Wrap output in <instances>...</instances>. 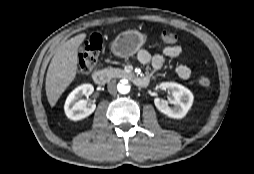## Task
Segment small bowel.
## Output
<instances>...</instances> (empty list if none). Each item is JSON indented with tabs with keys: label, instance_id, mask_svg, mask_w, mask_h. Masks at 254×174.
Here are the masks:
<instances>
[{
	"label": "small bowel",
	"instance_id": "obj_1",
	"mask_svg": "<svg viewBox=\"0 0 254 174\" xmlns=\"http://www.w3.org/2000/svg\"><path fill=\"white\" fill-rule=\"evenodd\" d=\"M181 52L180 45L164 46L160 53L153 56L147 50L141 49L137 53V59L141 64L150 65L153 71H157L162 68L168 59L178 57ZM175 70L181 79L186 80L191 76V70L186 65L178 64Z\"/></svg>",
	"mask_w": 254,
	"mask_h": 174
}]
</instances>
